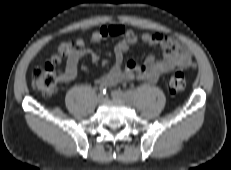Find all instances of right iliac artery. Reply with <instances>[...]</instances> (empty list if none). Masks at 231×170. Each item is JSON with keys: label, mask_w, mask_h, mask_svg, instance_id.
Here are the masks:
<instances>
[{"label": "right iliac artery", "mask_w": 231, "mask_h": 170, "mask_svg": "<svg viewBox=\"0 0 231 170\" xmlns=\"http://www.w3.org/2000/svg\"><path fill=\"white\" fill-rule=\"evenodd\" d=\"M100 92L102 93V94H106L107 93V87L106 86H100Z\"/></svg>", "instance_id": "obj_1"}]
</instances>
